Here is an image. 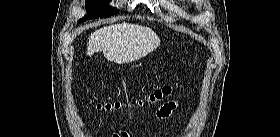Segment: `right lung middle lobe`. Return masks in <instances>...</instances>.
I'll use <instances>...</instances> for the list:
<instances>
[{
    "label": "right lung middle lobe",
    "mask_w": 280,
    "mask_h": 137,
    "mask_svg": "<svg viewBox=\"0 0 280 137\" xmlns=\"http://www.w3.org/2000/svg\"><path fill=\"white\" fill-rule=\"evenodd\" d=\"M108 3L109 0H86L87 14L79 22L92 18H106L119 12L117 8L109 6Z\"/></svg>",
    "instance_id": "dd1d6c3e"
}]
</instances>
